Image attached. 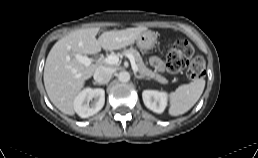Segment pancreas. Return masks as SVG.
<instances>
[{
	"label": "pancreas",
	"instance_id": "cf45deb5",
	"mask_svg": "<svg viewBox=\"0 0 258 158\" xmlns=\"http://www.w3.org/2000/svg\"><path fill=\"white\" fill-rule=\"evenodd\" d=\"M122 54L125 56L127 54L133 55V57L135 59V63L138 68V72L140 73L141 76L148 77L149 79L153 78L162 84L167 83V79L165 77L161 76L157 72L152 71L146 67V65L144 64V62L142 60L140 53L136 49H134V48L124 49Z\"/></svg>",
	"mask_w": 258,
	"mask_h": 158
}]
</instances>
